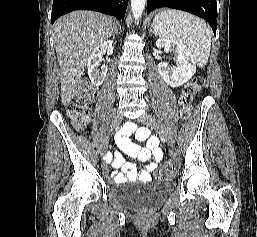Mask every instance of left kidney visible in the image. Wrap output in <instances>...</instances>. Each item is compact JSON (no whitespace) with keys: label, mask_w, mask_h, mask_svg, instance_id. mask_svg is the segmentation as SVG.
Listing matches in <instances>:
<instances>
[{"label":"left kidney","mask_w":257,"mask_h":237,"mask_svg":"<svg viewBox=\"0 0 257 237\" xmlns=\"http://www.w3.org/2000/svg\"><path fill=\"white\" fill-rule=\"evenodd\" d=\"M157 48H164L172 52L176 57L177 67L173 68L166 62L158 64L157 69L166 84L171 87H179L186 83L194 75L196 64L191 51L181 42L167 39H158Z\"/></svg>","instance_id":"obj_1"}]
</instances>
